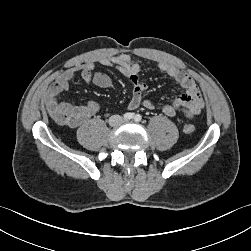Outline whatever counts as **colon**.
Returning a JSON list of instances; mask_svg holds the SVG:
<instances>
[{
	"mask_svg": "<svg viewBox=\"0 0 251 251\" xmlns=\"http://www.w3.org/2000/svg\"><path fill=\"white\" fill-rule=\"evenodd\" d=\"M184 131H185L186 133H192V132L194 131V125L191 124V123L185 124V126H184Z\"/></svg>",
	"mask_w": 251,
	"mask_h": 251,
	"instance_id": "5ec220e1",
	"label": "colon"
}]
</instances>
